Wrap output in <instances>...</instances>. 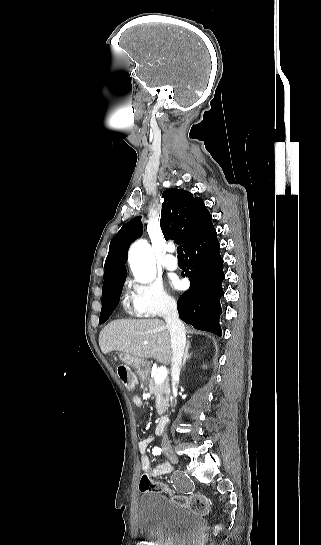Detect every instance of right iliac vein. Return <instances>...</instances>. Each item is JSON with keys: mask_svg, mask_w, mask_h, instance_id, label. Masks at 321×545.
Instances as JSON below:
<instances>
[{"mask_svg": "<svg viewBox=\"0 0 321 545\" xmlns=\"http://www.w3.org/2000/svg\"><path fill=\"white\" fill-rule=\"evenodd\" d=\"M163 451L166 457L170 460V462H172L173 464H177L179 462L178 456L175 454L172 448L165 447Z\"/></svg>", "mask_w": 321, "mask_h": 545, "instance_id": "1", "label": "right iliac vein"}]
</instances>
